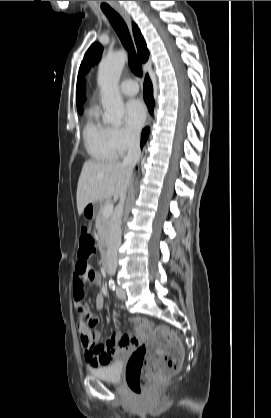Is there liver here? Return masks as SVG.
<instances>
[{"label":"liver","instance_id":"6515ba94","mask_svg":"<svg viewBox=\"0 0 271 418\" xmlns=\"http://www.w3.org/2000/svg\"><path fill=\"white\" fill-rule=\"evenodd\" d=\"M131 174L127 167L117 161L88 160L83 164L77 186V210L93 202L114 198L117 200L126 191Z\"/></svg>","mask_w":271,"mask_h":418}]
</instances>
